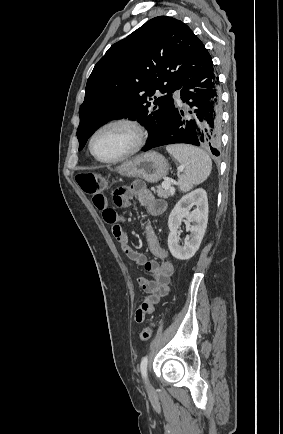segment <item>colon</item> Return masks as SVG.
Instances as JSON below:
<instances>
[{
	"label": "colon",
	"instance_id": "obj_1",
	"mask_svg": "<svg viewBox=\"0 0 283 434\" xmlns=\"http://www.w3.org/2000/svg\"><path fill=\"white\" fill-rule=\"evenodd\" d=\"M76 181L80 188L89 195L101 192L103 187L102 177L94 172H81L76 176ZM153 324L144 327L140 332V339L147 341L152 335Z\"/></svg>",
	"mask_w": 283,
	"mask_h": 434
}]
</instances>
